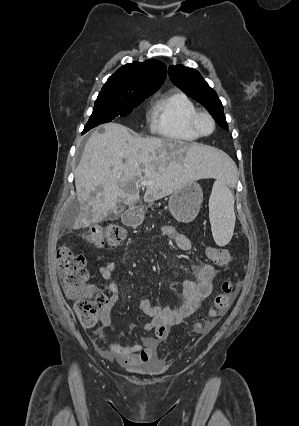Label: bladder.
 <instances>
[{
	"instance_id": "31cf9c89",
	"label": "bladder",
	"mask_w": 299,
	"mask_h": 426,
	"mask_svg": "<svg viewBox=\"0 0 299 426\" xmlns=\"http://www.w3.org/2000/svg\"><path fill=\"white\" fill-rule=\"evenodd\" d=\"M131 373L141 376H156L163 372L164 367L159 362H144L128 367Z\"/></svg>"
}]
</instances>
